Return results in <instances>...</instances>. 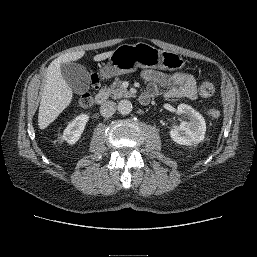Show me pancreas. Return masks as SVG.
Here are the masks:
<instances>
[{
    "label": "pancreas",
    "mask_w": 257,
    "mask_h": 257,
    "mask_svg": "<svg viewBox=\"0 0 257 257\" xmlns=\"http://www.w3.org/2000/svg\"><path fill=\"white\" fill-rule=\"evenodd\" d=\"M102 91L113 99L129 97V92L121 87V81H119V79H115V82L110 87H104Z\"/></svg>",
    "instance_id": "1"
}]
</instances>
